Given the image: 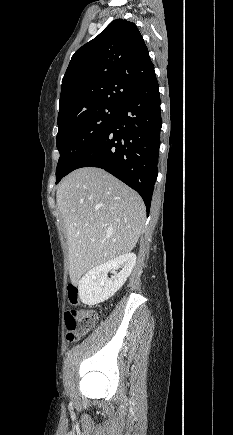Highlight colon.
<instances>
[{
	"mask_svg": "<svg viewBox=\"0 0 233 435\" xmlns=\"http://www.w3.org/2000/svg\"><path fill=\"white\" fill-rule=\"evenodd\" d=\"M80 286L77 282H71L68 285V299L72 304L79 301ZM98 317L94 309H70L66 314V338L68 342L73 343L82 338L89 332Z\"/></svg>",
	"mask_w": 233,
	"mask_h": 435,
	"instance_id": "obj_1",
	"label": "colon"
}]
</instances>
